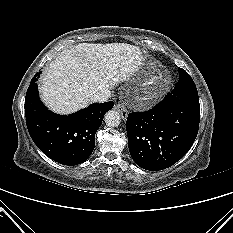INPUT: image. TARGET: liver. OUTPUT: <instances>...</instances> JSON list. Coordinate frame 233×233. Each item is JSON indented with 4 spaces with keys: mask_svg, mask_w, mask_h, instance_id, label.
<instances>
[{
    "mask_svg": "<svg viewBox=\"0 0 233 233\" xmlns=\"http://www.w3.org/2000/svg\"><path fill=\"white\" fill-rule=\"evenodd\" d=\"M142 60L138 47L124 43H80L64 49L41 79V98L54 112L73 113L88 106L97 92L132 75Z\"/></svg>",
    "mask_w": 233,
    "mask_h": 233,
    "instance_id": "6515ba94",
    "label": "liver"
}]
</instances>
